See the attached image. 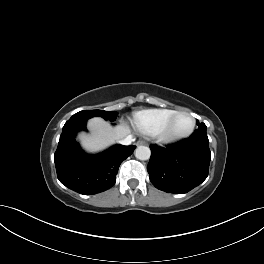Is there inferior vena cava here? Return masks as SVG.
Masks as SVG:
<instances>
[{"mask_svg":"<svg viewBox=\"0 0 264 264\" xmlns=\"http://www.w3.org/2000/svg\"><path fill=\"white\" fill-rule=\"evenodd\" d=\"M133 141H134L133 136L132 135H128L124 139H122L120 141V143L122 145H130Z\"/></svg>","mask_w":264,"mask_h":264,"instance_id":"obj_1","label":"inferior vena cava"}]
</instances>
